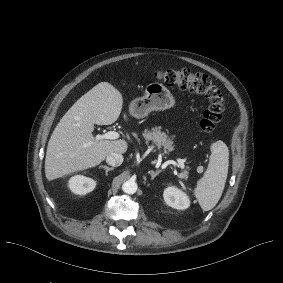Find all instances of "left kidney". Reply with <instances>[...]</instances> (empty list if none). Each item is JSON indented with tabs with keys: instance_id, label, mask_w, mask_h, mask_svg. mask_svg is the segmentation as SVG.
Wrapping results in <instances>:
<instances>
[{
	"instance_id": "obj_1",
	"label": "left kidney",
	"mask_w": 283,
	"mask_h": 283,
	"mask_svg": "<svg viewBox=\"0 0 283 283\" xmlns=\"http://www.w3.org/2000/svg\"><path fill=\"white\" fill-rule=\"evenodd\" d=\"M163 197L166 204L172 208L184 210L190 206L188 196L174 186L167 187L163 192Z\"/></svg>"
}]
</instances>
